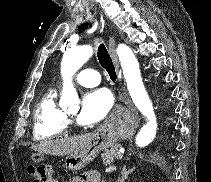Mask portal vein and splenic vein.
Returning <instances> with one entry per match:
<instances>
[{"label": "portal vein and splenic vein", "instance_id": "obj_1", "mask_svg": "<svg viewBox=\"0 0 211 182\" xmlns=\"http://www.w3.org/2000/svg\"><path fill=\"white\" fill-rule=\"evenodd\" d=\"M122 152H123V151H122ZM115 170H116V167L111 166V167L106 168L105 172H106V173H110V172H113V171H115Z\"/></svg>", "mask_w": 211, "mask_h": 182}]
</instances>
